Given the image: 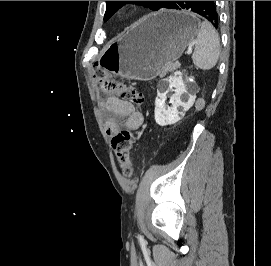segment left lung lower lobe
Masks as SVG:
<instances>
[{
    "label": "left lung lower lobe",
    "mask_w": 271,
    "mask_h": 266,
    "mask_svg": "<svg viewBox=\"0 0 271 266\" xmlns=\"http://www.w3.org/2000/svg\"><path fill=\"white\" fill-rule=\"evenodd\" d=\"M167 9H188L207 19L215 28L219 26V16L215 1H171Z\"/></svg>",
    "instance_id": "1"
}]
</instances>
